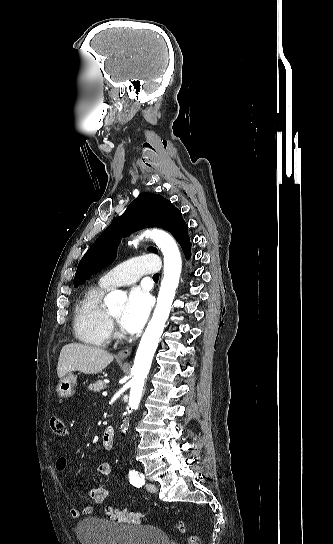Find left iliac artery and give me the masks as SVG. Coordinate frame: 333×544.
Returning <instances> with one entry per match:
<instances>
[{
	"instance_id": "obj_1",
	"label": "left iliac artery",
	"mask_w": 333,
	"mask_h": 544,
	"mask_svg": "<svg viewBox=\"0 0 333 544\" xmlns=\"http://www.w3.org/2000/svg\"><path fill=\"white\" fill-rule=\"evenodd\" d=\"M129 481L133 486L138 488L145 484L144 476L135 470L129 471Z\"/></svg>"
}]
</instances>
